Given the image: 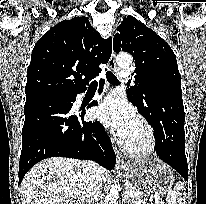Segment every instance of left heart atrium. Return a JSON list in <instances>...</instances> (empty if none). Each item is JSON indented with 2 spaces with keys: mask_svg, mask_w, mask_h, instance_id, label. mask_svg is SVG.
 Listing matches in <instances>:
<instances>
[{
  "mask_svg": "<svg viewBox=\"0 0 206 204\" xmlns=\"http://www.w3.org/2000/svg\"><path fill=\"white\" fill-rule=\"evenodd\" d=\"M97 118L119 137L127 140L137 123L134 108L119 94L107 97L96 109Z\"/></svg>",
  "mask_w": 206,
  "mask_h": 204,
  "instance_id": "39dd6f15",
  "label": "left heart atrium"
}]
</instances>
